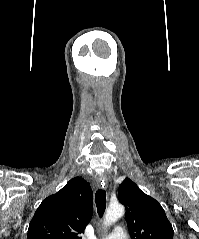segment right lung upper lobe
<instances>
[{
  "mask_svg": "<svg viewBox=\"0 0 199 239\" xmlns=\"http://www.w3.org/2000/svg\"><path fill=\"white\" fill-rule=\"evenodd\" d=\"M93 211L90 184L71 179L59 192L44 199L28 228L27 239H81Z\"/></svg>",
  "mask_w": 199,
  "mask_h": 239,
  "instance_id": "right-lung-upper-lobe-1",
  "label": "right lung upper lobe"
}]
</instances>
